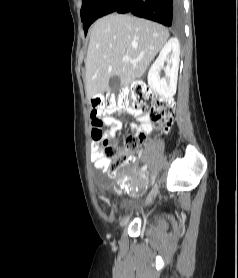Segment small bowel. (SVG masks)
I'll list each match as a JSON object with an SVG mask.
<instances>
[{"label": "small bowel", "instance_id": "small-bowel-1", "mask_svg": "<svg viewBox=\"0 0 238 278\" xmlns=\"http://www.w3.org/2000/svg\"><path fill=\"white\" fill-rule=\"evenodd\" d=\"M129 114L135 115L138 119L139 124L131 123V129L134 131L137 136L139 133H149L152 129L150 116L146 113L134 112L132 110H128ZM124 113L115 108L112 110H108L102 113V126H107L112 129L110 133L103 134L100 140H94V145L92 148L91 158L94 163L95 168L99 170H105L108 164V160L104 157L103 150L99 146V142H110L111 139L114 138L117 130L121 128V121L117 118L122 116ZM130 159H134L133 156H129ZM125 183L120 180L116 186V191L120 192L124 189Z\"/></svg>", "mask_w": 238, "mask_h": 278}]
</instances>
